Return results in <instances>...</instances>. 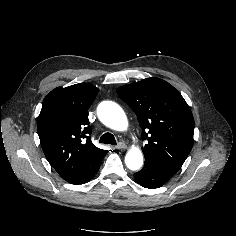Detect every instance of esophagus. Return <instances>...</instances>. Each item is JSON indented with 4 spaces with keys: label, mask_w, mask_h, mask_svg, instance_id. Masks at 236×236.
Masks as SVG:
<instances>
[{
    "label": "esophagus",
    "mask_w": 236,
    "mask_h": 236,
    "mask_svg": "<svg viewBox=\"0 0 236 236\" xmlns=\"http://www.w3.org/2000/svg\"><path fill=\"white\" fill-rule=\"evenodd\" d=\"M116 148H117V149H126L127 146H126L125 143L119 142V143L116 145Z\"/></svg>",
    "instance_id": "1"
}]
</instances>
